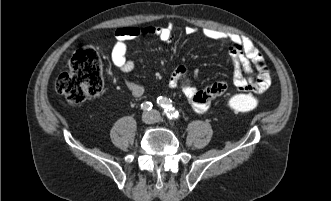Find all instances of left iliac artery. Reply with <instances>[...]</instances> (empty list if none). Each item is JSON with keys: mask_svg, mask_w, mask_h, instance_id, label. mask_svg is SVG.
Listing matches in <instances>:
<instances>
[{"mask_svg": "<svg viewBox=\"0 0 331 201\" xmlns=\"http://www.w3.org/2000/svg\"><path fill=\"white\" fill-rule=\"evenodd\" d=\"M157 104L163 108L164 113L168 116V118L176 119L179 117V113L172 106L170 99L168 100L166 97L161 96L157 99Z\"/></svg>", "mask_w": 331, "mask_h": 201, "instance_id": "obj_1", "label": "left iliac artery"}]
</instances>
